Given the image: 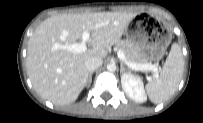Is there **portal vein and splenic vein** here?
Listing matches in <instances>:
<instances>
[{
  "instance_id": "obj_1",
  "label": "portal vein and splenic vein",
  "mask_w": 203,
  "mask_h": 123,
  "mask_svg": "<svg viewBox=\"0 0 203 123\" xmlns=\"http://www.w3.org/2000/svg\"><path fill=\"white\" fill-rule=\"evenodd\" d=\"M90 39V32L84 31L82 34V40L79 43H74L72 45L63 46L62 48L72 51L73 53H81L87 50L86 42ZM117 56L122 60L129 68L136 71H153L154 76H158V67L155 64L145 63V64H136L129 62L125 54L122 51L117 52Z\"/></svg>"
}]
</instances>
